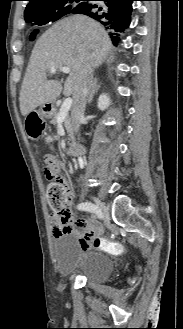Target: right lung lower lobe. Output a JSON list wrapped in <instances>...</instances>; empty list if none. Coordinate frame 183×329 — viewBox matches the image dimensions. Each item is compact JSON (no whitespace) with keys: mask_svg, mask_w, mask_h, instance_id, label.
Listing matches in <instances>:
<instances>
[{"mask_svg":"<svg viewBox=\"0 0 183 329\" xmlns=\"http://www.w3.org/2000/svg\"><path fill=\"white\" fill-rule=\"evenodd\" d=\"M93 1H102L94 4ZM135 0H83L82 6L72 13L87 15L109 29L114 43L119 38V33L128 28L132 12V3Z\"/></svg>","mask_w":183,"mask_h":329,"instance_id":"1","label":"right lung lower lobe"}]
</instances>
